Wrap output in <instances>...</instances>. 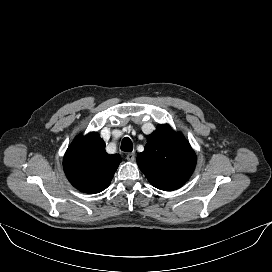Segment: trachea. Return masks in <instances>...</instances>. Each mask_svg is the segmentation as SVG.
<instances>
[{"instance_id":"1","label":"trachea","mask_w":272,"mask_h":272,"mask_svg":"<svg viewBox=\"0 0 272 272\" xmlns=\"http://www.w3.org/2000/svg\"><path fill=\"white\" fill-rule=\"evenodd\" d=\"M121 150L124 152H131L133 150V144L130 138L125 137L121 142Z\"/></svg>"}]
</instances>
